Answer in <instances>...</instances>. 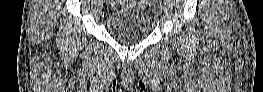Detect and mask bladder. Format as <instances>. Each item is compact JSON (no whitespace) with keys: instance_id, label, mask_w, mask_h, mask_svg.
Wrapping results in <instances>:
<instances>
[{"instance_id":"bladder-1","label":"bladder","mask_w":263,"mask_h":92,"mask_svg":"<svg viewBox=\"0 0 263 92\" xmlns=\"http://www.w3.org/2000/svg\"><path fill=\"white\" fill-rule=\"evenodd\" d=\"M127 6L113 9L106 17L109 35L124 44L137 43L150 32L149 18L140 1H127Z\"/></svg>"}]
</instances>
